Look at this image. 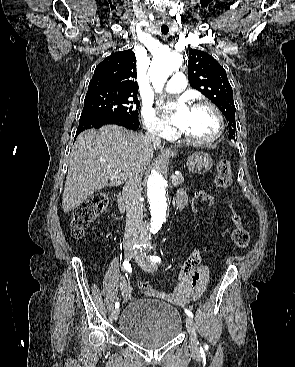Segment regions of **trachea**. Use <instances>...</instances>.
I'll list each match as a JSON object with an SVG mask.
<instances>
[{"label":"trachea","mask_w":295,"mask_h":367,"mask_svg":"<svg viewBox=\"0 0 295 367\" xmlns=\"http://www.w3.org/2000/svg\"><path fill=\"white\" fill-rule=\"evenodd\" d=\"M169 32V28L167 26H162L161 27V33L163 35H166Z\"/></svg>","instance_id":"trachea-1"}]
</instances>
